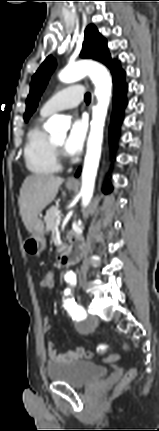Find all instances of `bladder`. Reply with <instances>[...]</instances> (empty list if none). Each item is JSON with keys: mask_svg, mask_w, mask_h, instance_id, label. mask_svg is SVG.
<instances>
[{"mask_svg": "<svg viewBox=\"0 0 159 431\" xmlns=\"http://www.w3.org/2000/svg\"><path fill=\"white\" fill-rule=\"evenodd\" d=\"M109 372L108 367L87 360L49 363L46 367V376L50 382L66 384L74 388H81L99 381Z\"/></svg>", "mask_w": 159, "mask_h": 431, "instance_id": "bladder-1", "label": "bladder"}]
</instances>
